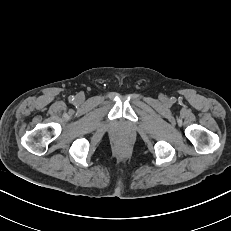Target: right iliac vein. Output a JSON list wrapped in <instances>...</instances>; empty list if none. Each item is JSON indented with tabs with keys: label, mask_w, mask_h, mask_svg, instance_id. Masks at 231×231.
I'll return each mask as SVG.
<instances>
[{
	"label": "right iliac vein",
	"mask_w": 231,
	"mask_h": 231,
	"mask_svg": "<svg viewBox=\"0 0 231 231\" xmlns=\"http://www.w3.org/2000/svg\"><path fill=\"white\" fill-rule=\"evenodd\" d=\"M84 99H85V97H84L83 94H78V95L76 96V100H77L78 102H83Z\"/></svg>",
	"instance_id": "obj_1"
}]
</instances>
